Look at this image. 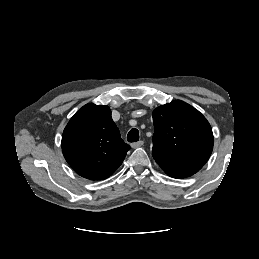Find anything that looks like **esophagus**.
Returning a JSON list of instances; mask_svg holds the SVG:
<instances>
[{"label": "esophagus", "instance_id": "1", "mask_svg": "<svg viewBox=\"0 0 259 259\" xmlns=\"http://www.w3.org/2000/svg\"><path fill=\"white\" fill-rule=\"evenodd\" d=\"M144 144V141H138V142H135V143H133L132 145H131V147L133 148V149H136V148H138V147H141L142 145Z\"/></svg>", "mask_w": 259, "mask_h": 259}]
</instances>
